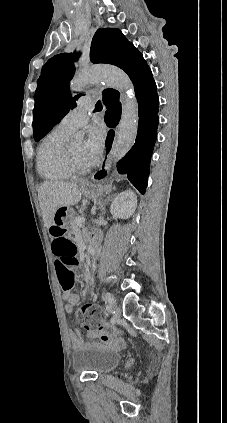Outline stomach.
<instances>
[{
	"label": "stomach",
	"mask_w": 227,
	"mask_h": 423,
	"mask_svg": "<svg viewBox=\"0 0 227 423\" xmlns=\"http://www.w3.org/2000/svg\"><path fill=\"white\" fill-rule=\"evenodd\" d=\"M82 194L85 198H98V196H104L107 192V186H95V184H90V182H81L80 184Z\"/></svg>",
	"instance_id": "1"
}]
</instances>
